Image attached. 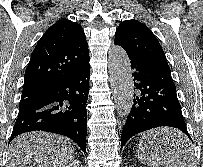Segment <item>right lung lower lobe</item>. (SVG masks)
Returning <instances> with one entry per match:
<instances>
[{"instance_id":"obj_1","label":"right lung lower lobe","mask_w":203,"mask_h":167,"mask_svg":"<svg viewBox=\"0 0 203 167\" xmlns=\"http://www.w3.org/2000/svg\"><path fill=\"white\" fill-rule=\"evenodd\" d=\"M89 60L63 78L47 94L22 99L10 140L42 130L71 138L86 152Z\"/></svg>"}]
</instances>
